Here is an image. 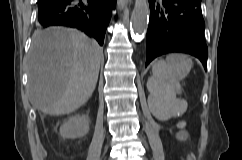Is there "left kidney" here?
I'll return each instance as SVG.
<instances>
[{"label": "left kidney", "mask_w": 242, "mask_h": 160, "mask_svg": "<svg viewBox=\"0 0 242 160\" xmlns=\"http://www.w3.org/2000/svg\"><path fill=\"white\" fill-rule=\"evenodd\" d=\"M178 105L181 106V113H183L187 108V103L183 100H177V106ZM151 112L160 121H167L172 117V113L168 109H164L158 102L151 105ZM178 115H180L179 112Z\"/></svg>", "instance_id": "left-kidney-1"}]
</instances>
